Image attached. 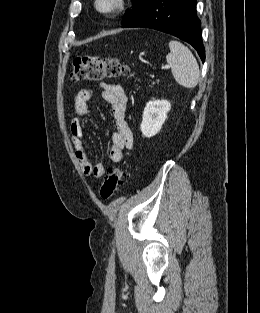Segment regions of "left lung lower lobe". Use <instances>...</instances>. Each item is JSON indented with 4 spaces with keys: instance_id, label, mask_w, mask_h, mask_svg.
<instances>
[{
    "instance_id": "1",
    "label": "left lung lower lobe",
    "mask_w": 260,
    "mask_h": 313,
    "mask_svg": "<svg viewBox=\"0 0 260 313\" xmlns=\"http://www.w3.org/2000/svg\"><path fill=\"white\" fill-rule=\"evenodd\" d=\"M123 27H147L174 35L189 44L205 60L201 23L196 16V0H151Z\"/></svg>"
}]
</instances>
